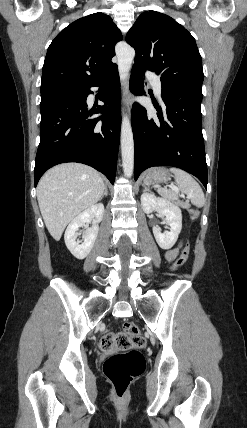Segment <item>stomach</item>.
<instances>
[{
    "label": "stomach",
    "instance_id": "obj_1",
    "mask_svg": "<svg viewBox=\"0 0 247 428\" xmlns=\"http://www.w3.org/2000/svg\"><path fill=\"white\" fill-rule=\"evenodd\" d=\"M170 179V174L165 168H153L149 170L144 178L146 184L166 182Z\"/></svg>",
    "mask_w": 247,
    "mask_h": 428
}]
</instances>
